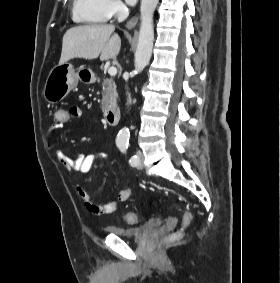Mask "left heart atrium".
I'll return each instance as SVG.
<instances>
[{"mask_svg":"<svg viewBox=\"0 0 280 283\" xmlns=\"http://www.w3.org/2000/svg\"><path fill=\"white\" fill-rule=\"evenodd\" d=\"M129 5H135L137 0H126Z\"/></svg>","mask_w":280,"mask_h":283,"instance_id":"39dd6f15","label":"left heart atrium"}]
</instances>
